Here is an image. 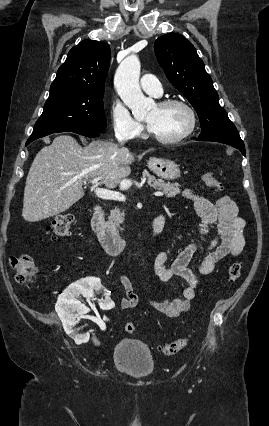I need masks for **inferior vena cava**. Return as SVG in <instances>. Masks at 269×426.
I'll use <instances>...</instances> for the list:
<instances>
[{"mask_svg": "<svg viewBox=\"0 0 269 426\" xmlns=\"http://www.w3.org/2000/svg\"><path fill=\"white\" fill-rule=\"evenodd\" d=\"M117 139H118L119 142H121V143L123 142V138L121 136H117Z\"/></svg>", "mask_w": 269, "mask_h": 426, "instance_id": "1", "label": "inferior vena cava"}]
</instances>
